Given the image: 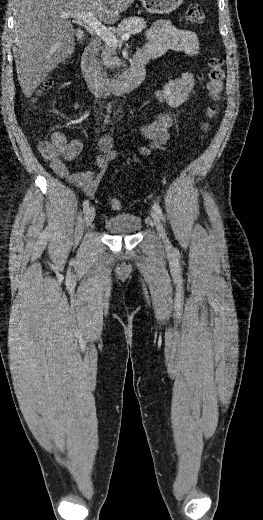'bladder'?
Returning <instances> with one entry per match:
<instances>
[{"mask_svg":"<svg viewBox=\"0 0 263 520\" xmlns=\"http://www.w3.org/2000/svg\"><path fill=\"white\" fill-rule=\"evenodd\" d=\"M142 218L135 213H120L108 216L103 221L105 231L114 235H129L142 228Z\"/></svg>","mask_w":263,"mask_h":520,"instance_id":"31cf9c89","label":"bladder"}]
</instances>
